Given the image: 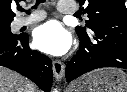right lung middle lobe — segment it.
<instances>
[{"mask_svg":"<svg viewBox=\"0 0 127 92\" xmlns=\"http://www.w3.org/2000/svg\"><path fill=\"white\" fill-rule=\"evenodd\" d=\"M17 36L11 33L10 24L0 25V38H14Z\"/></svg>","mask_w":127,"mask_h":92,"instance_id":"dd1d6c3e","label":"right lung middle lobe"}]
</instances>
